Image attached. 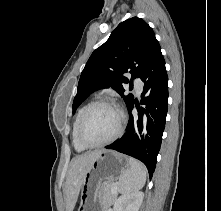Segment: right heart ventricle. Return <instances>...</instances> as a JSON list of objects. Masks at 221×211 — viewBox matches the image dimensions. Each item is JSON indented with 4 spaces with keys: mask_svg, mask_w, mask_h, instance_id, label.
Here are the masks:
<instances>
[{
    "mask_svg": "<svg viewBox=\"0 0 221 211\" xmlns=\"http://www.w3.org/2000/svg\"><path fill=\"white\" fill-rule=\"evenodd\" d=\"M89 105V103L87 104H84L77 112L76 116H75V119H74V122H73V130H72V141H73V145L75 147V149L77 151H84L87 149L86 146H84L80 141H79V138H78V125H79V120H80V117L83 113V111L86 109V107Z\"/></svg>",
    "mask_w": 221,
    "mask_h": 211,
    "instance_id": "right-heart-ventricle-1",
    "label": "right heart ventricle"
}]
</instances>
